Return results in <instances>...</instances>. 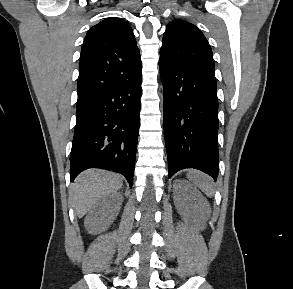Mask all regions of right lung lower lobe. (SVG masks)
<instances>
[{
    "label": "right lung lower lobe",
    "mask_w": 293,
    "mask_h": 289,
    "mask_svg": "<svg viewBox=\"0 0 293 289\" xmlns=\"http://www.w3.org/2000/svg\"><path fill=\"white\" fill-rule=\"evenodd\" d=\"M142 77L116 86L77 105V120L70 156V179L98 167L123 174L129 186L139 132Z\"/></svg>",
    "instance_id": "obj_1"
}]
</instances>
